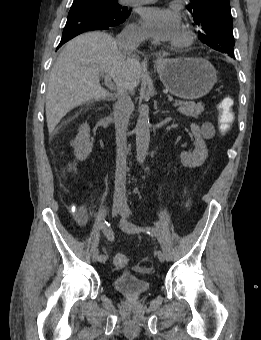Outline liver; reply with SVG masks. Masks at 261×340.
I'll use <instances>...</instances> for the list:
<instances>
[{"instance_id": "6515ba94", "label": "liver", "mask_w": 261, "mask_h": 340, "mask_svg": "<svg viewBox=\"0 0 261 340\" xmlns=\"http://www.w3.org/2000/svg\"><path fill=\"white\" fill-rule=\"evenodd\" d=\"M101 72L108 73L117 88L126 86L133 91L140 82L141 66L135 54L122 52L116 40L104 32L81 34L64 46L47 87L49 133L75 107L113 96L100 85Z\"/></svg>"}]
</instances>
